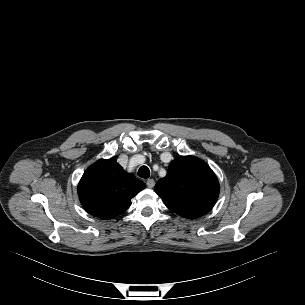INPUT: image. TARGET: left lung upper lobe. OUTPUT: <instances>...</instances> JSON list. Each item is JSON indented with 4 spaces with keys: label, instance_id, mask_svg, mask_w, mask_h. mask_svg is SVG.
I'll use <instances>...</instances> for the list:
<instances>
[{
    "label": "left lung upper lobe",
    "instance_id": "5c2ea615",
    "mask_svg": "<svg viewBox=\"0 0 305 305\" xmlns=\"http://www.w3.org/2000/svg\"><path fill=\"white\" fill-rule=\"evenodd\" d=\"M219 189L211 168L193 156L175 158L167 175L155 185L165 205L186 218H198L209 212L217 201Z\"/></svg>",
    "mask_w": 305,
    "mask_h": 305
}]
</instances>
